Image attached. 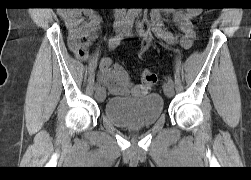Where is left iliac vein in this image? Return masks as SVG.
<instances>
[{
	"instance_id": "obj_1",
	"label": "left iliac vein",
	"mask_w": 251,
	"mask_h": 180,
	"mask_svg": "<svg viewBox=\"0 0 251 180\" xmlns=\"http://www.w3.org/2000/svg\"><path fill=\"white\" fill-rule=\"evenodd\" d=\"M125 35L127 37H131L133 34L130 31H128L125 33ZM163 89H164V93L167 97H172L174 95V87L172 84H170L168 82L164 83Z\"/></svg>"
}]
</instances>
